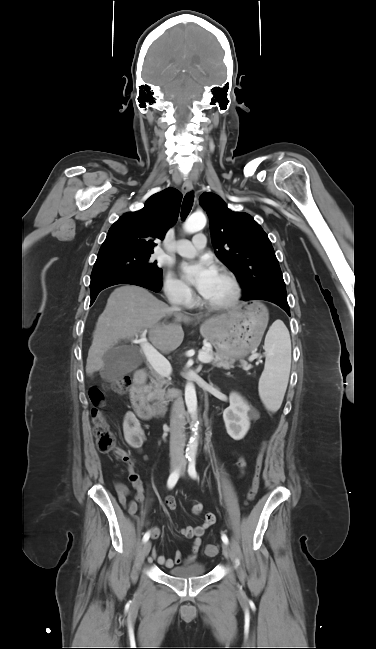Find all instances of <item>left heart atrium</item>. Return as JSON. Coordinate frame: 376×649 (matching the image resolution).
<instances>
[{
    "label": "left heart atrium",
    "mask_w": 376,
    "mask_h": 649,
    "mask_svg": "<svg viewBox=\"0 0 376 649\" xmlns=\"http://www.w3.org/2000/svg\"><path fill=\"white\" fill-rule=\"evenodd\" d=\"M182 277L192 283L204 295L214 280L217 271L209 259L183 262L180 266Z\"/></svg>",
    "instance_id": "obj_1"
}]
</instances>
